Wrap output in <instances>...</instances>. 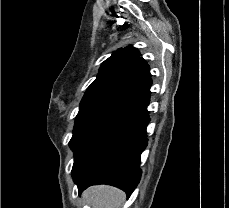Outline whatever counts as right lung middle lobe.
Listing matches in <instances>:
<instances>
[{"label": "right lung middle lobe", "instance_id": "obj_1", "mask_svg": "<svg viewBox=\"0 0 229 208\" xmlns=\"http://www.w3.org/2000/svg\"><path fill=\"white\" fill-rule=\"evenodd\" d=\"M146 106L120 98H104L81 104L69 142L74 151L72 171L95 147L132 122Z\"/></svg>", "mask_w": 229, "mask_h": 208}]
</instances>
